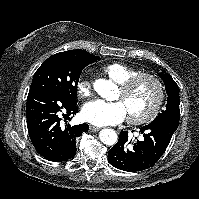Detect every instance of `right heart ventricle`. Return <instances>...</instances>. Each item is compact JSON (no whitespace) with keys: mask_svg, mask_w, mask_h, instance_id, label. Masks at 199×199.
<instances>
[{"mask_svg":"<svg viewBox=\"0 0 199 199\" xmlns=\"http://www.w3.org/2000/svg\"><path fill=\"white\" fill-rule=\"evenodd\" d=\"M103 71L119 84L140 73L139 69L121 62L109 63L103 67Z\"/></svg>","mask_w":199,"mask_h":199,"instance_id":"e07e8e85","label":"right heart ventricle"}]
</instances>
